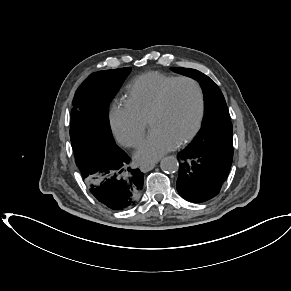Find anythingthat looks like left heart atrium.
<instances>
[{"label": "left heart atrium", "mask_w": 291, "mask_h": 291, "mask_svg": "<svg viewBox=\"0 0 291 291\" xmlns=\"http://www.w3.org/2000/svg\"><path fill=\"white\" fill-rule=\"evenodd\" d=\"M177 146V142L161 131H152L138 147L135 160L140 164L156 162Z\"/></svg>", "instance_id": "1"}]
</instances>
